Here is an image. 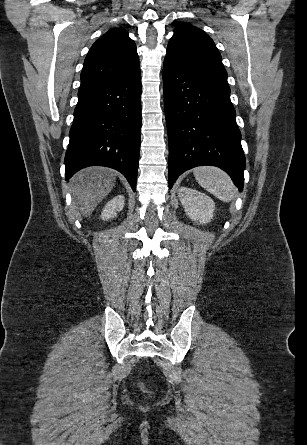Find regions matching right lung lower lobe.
<instances>
[{
    "label": "right lung lower lobe",
    "mask_w": 307,
    "mask_h": 445,
    "mask_svg": "<svg viewBox=\"0 0 307 445\" xmlns=\"http://www.w3.org/2000/svg\"><path fill=\"white\" fill-rule=\"evenodd\" d=\"M141 135V72L79 88L65 155L66 180L101 165L120 171L136 189Z\"/></svg>",
    "instance_id": "98d812e1"
}]
</instances>
